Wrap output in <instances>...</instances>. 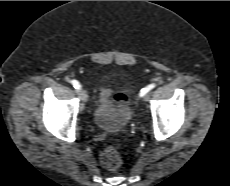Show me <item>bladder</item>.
<instances>
[{"label":"bladder","instance_id":"bladder-1","mask_svg":"<svg viewBox=\"0 0 230 186\" xmlns=\"http://www.w3.org/2000/svg\"><path fill=\"white\" fill-rule=\"evenodd\" d=\"M112 90L103 86L98 95L97 106L93 114V123L106 132L121 130L130 120L131 111L126 103L114 102Z\"/></svg>","mask_w":230,"mask_h":186}]
</instances>
